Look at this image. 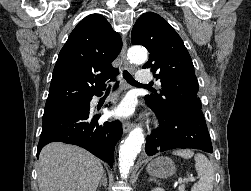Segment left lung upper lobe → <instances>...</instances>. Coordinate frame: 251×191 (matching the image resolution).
<instances>
[{
    "mask_svg": "<svg viewBox=\"0 0 251 191\" xmlns=\"http://www.w3.org/2000/svg\"><path fill=\"white\" fill-rule=\"evenodd\" d=\"M131 40L148 49L149 60L143 68L151 69L161 81L160 94L145 96L161 119L182 107H201L192 59L167 21L152 12L141 15L133 26Z\"/></svg>",
    "mask_w": 251,
    "mask_h": 191,
    "instance_id": "left-lung-upper-lobe-1",
    "label": "left lung upper lobe"
}]
</instances>
